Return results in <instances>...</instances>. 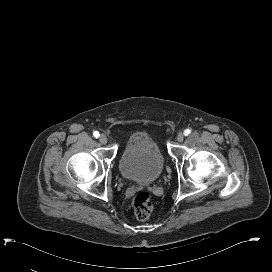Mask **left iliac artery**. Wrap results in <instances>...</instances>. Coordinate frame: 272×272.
<instances>
[{"mask_svg":"<svg viewBox=\"0 0 272 272\" xmlns=\"http://www.w3.org/2000/svg\"><path fill=\"white\" fill-rule=\"evenodd\" d=\"M184 132H185V135H188V134L191 133V130L190 129H186Z\"/></svg>","mask_w":272,"mask_h":272,"instance_id":"left-iliac-artery-1","label":"left iliac artery"}]
</instances>
